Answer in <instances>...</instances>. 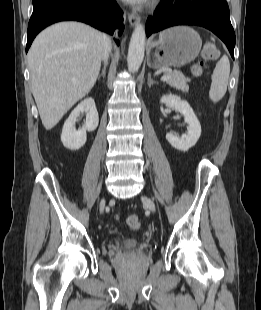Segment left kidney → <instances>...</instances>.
Here are the masks:
<instances>
[{"mask_svg": "<svg viewBox=\"0 0 261 310\" xmlns=\"http://www.w3.org/2000/svg\"><path fill=\"white\" fill-rule=\"evenodd\" d=\"M160 102L184 116V120L188 125L187 133L183 134L181 137L168 133L166 139L174 148L181 151H188L196 144L201 135V126L193 109L187 101L182 100L177 95H164L160 99Z\"/></svg>", "mask_w": 261, "mask_h": 310, "instance_id": "5707ae66", "label": "left kidney"}]
</instances>
